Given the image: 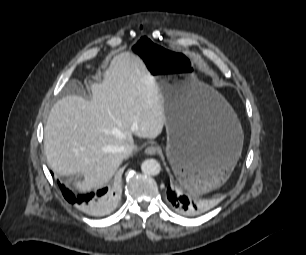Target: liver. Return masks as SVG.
I'll list each match as a JSON object with an SVG mask.
<instances>
[{"label":"liver","mask_w":306,"mask_h":255,"mask_svg":"<svg viewBox=\"0 0 306 255\" xmlns=\"http://www.w3.org/2000/svg\"><path fill=\"white\" fill-rule=\"evenodd\" d=\"M92 97L68 95L52 107L44 129V149L51 169L83 177L68 184L81 192L105 185L125 156L120 148L133 135L155 139L165 115L156 80L135 54L111 60L102 83L90 86Z\"/></svg>","instance_id":"liver-1"}]
</instances>
